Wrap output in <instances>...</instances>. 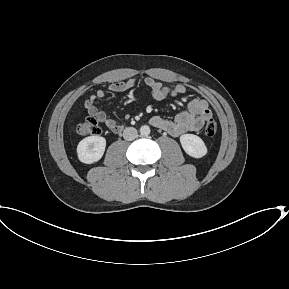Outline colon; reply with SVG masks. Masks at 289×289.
Returning a JSON list of instances; mask_svg holds the SVG:
<instances>
[{
    "mask_svg": "<svg viewBox=\"0 0 289 289\" xmlns=\"http://www.w3.org/2000/svg\"><path fill=\"white\" fill-rule=\"evenodd\" d=\"M75 130L82 136H95L101 133V129L98 125L96 118L89 117L83 122L76 124ZM217 132V123L213 119H209L204 127V134L208 138L215 136Z\"/></svg>",
    "mask_w": 289,
    "mask_h": 289,
    "instance_id": "5ec220e1",
    "label": "colon"
}]
</instances>
